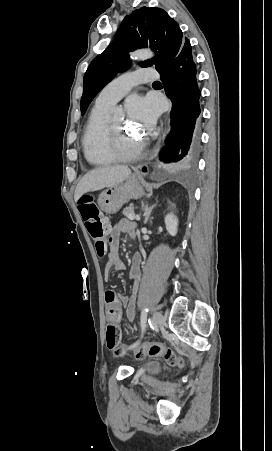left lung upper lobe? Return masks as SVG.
<instances>
[{
  "label": "left lung upper lobe",
  "mask_w": 272,
  "mask_h": 451,
  "mask_svg": "<svg viewBox=\"0 0 272 451\" xmlns=\"http://www.w3.org/2000/svg\"><path fill=\"white\" fill-rule=\"evenodd\" d=\"M184 39L178 23L161 8L142 7L126 16L113 42L91 62L84 75L81 114L117 73L130 67L128 52L150 47L156 56L141 62L140 66L155 64L159 72L177 56Z\"/></svg>",
  "instance_id": "obj_1"
}]
</instances>
